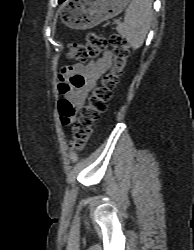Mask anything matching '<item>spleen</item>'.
I'll use <instances>...</instances> for the list:
<instances>
[{
	"mask_svg": "<svg viewBox=\"0 0 194 250\" xmlns=\"http://www.w3.org/2000/svg\"><path fill=\"white\" fill-rule=\"evenodd\" d=\"M152 20V0H132L126 9L124 22L118 24L116 30L133 49H138L144 43Z\"/></svg>",
	"mask_w": 194,
	"mask_h": 250,
	"instance_id": "1",
	"label": "spleen"
}]
</instances>
